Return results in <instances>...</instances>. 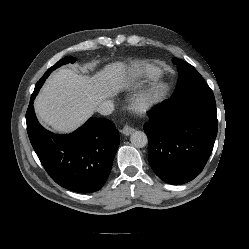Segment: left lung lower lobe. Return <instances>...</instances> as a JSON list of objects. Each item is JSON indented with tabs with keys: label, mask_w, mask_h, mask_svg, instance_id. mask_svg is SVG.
<instances>
[{
	"label": "left lung lower lobe",
	"mask_w": 249,
	"mask_h": 249,
	"mask_svg": "<svg viewBox=\"0 0 249 249\" xmlns=\"http://www.w3.org/2000/svg\"><path fill=\"white\" fill-rule=\"evenodd\" d=\"M172 99L151 112L144 125L148 160L164 182L179 185L194 179L208 161L217 135L216 103L171 107Z\"/></svg>",
	"instance_id": "obj_1"
}]
</instances>
